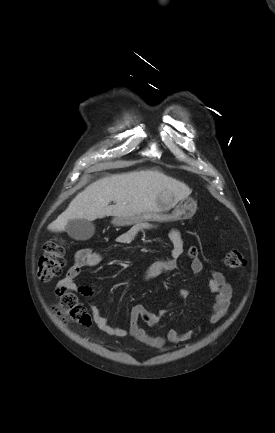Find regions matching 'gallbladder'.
<instances>
[{
  "label": "gallbladder",
  "instance_id": "gallbladder-1",
  "mask_svg": "<svg viewBox=\"0 0 275 433\" xmlns=\"http://www.w3.org/2000/svg\"><path fill=\"white\" fill-rule=\"evenodd\" d=\"M66 232L75 240L86 241L94 235L95 227L93 223L88 220L73 219L68 221Z\"/></svg>",
  "mask_w": 275,
  "mask_h": 433
}]
</instances>
